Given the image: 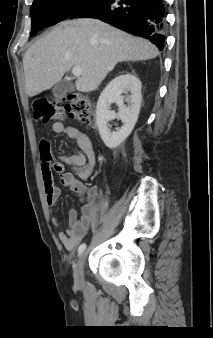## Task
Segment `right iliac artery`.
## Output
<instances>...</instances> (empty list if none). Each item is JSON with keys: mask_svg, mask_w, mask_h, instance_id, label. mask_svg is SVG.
<instances>
[{"mask_svg": "<svg viewBox=\"0 0 213 338\" xmlns=\"http://www.w3.org/2000/svg\"><path fill=\"white\" fill-rule=\"evenodd\" d=\"M85 249H86V244L82 243L78 248V255H81Z\"/></svg>", "mask_w": 213, "mask_h": 338, "instance_id": "82829eb1", "label": "right iliac artery"}]
</instances>
